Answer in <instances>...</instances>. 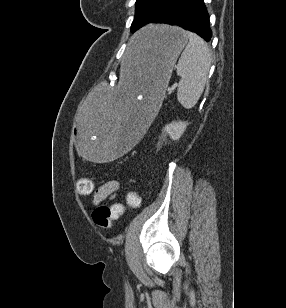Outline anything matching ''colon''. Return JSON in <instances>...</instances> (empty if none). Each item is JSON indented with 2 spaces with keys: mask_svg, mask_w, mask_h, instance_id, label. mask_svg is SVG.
I'll use <instances>...</instances> for the list:
<instances>
[{
  "mask_svg": "<svg viewBox=\"0 0 286 308\" xmlns=\"http://www.w3.org/2000/svg\"><path fill=\"white\" fill-rule=\"evenodd\" d=\"M77 191L81 194L88 195L93 191V183L88 178H81L76 184ZM125 204H113L111 206L101 205L96 207L92 212L94 223L103 228L108 229L112 226V222L118 219L126 210V206L137 208L140 205V197L136 191H128L125 196Z\"/></svg>",
  "mask_w": 286,
  "mask_h": 308,
  "instance_id": "1",
  "label": "colon"
}]
</instances>
